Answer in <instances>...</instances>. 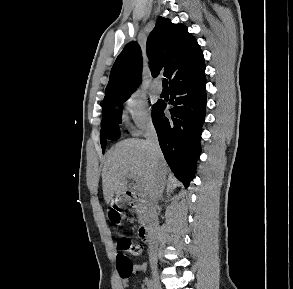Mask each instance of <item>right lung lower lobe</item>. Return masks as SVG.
Returning <instances> with one entry per match:
<instances>
[{"label": "right lung lower lobe", "instance_id": "obj_1", "mask_svg": "<svg viewBox=\"0 0 293 289\" xmlns=\"http://www.w3.org/2000/svg\"><path fill=\"white\" fill-rule=\"evenodd\" d=\"M171 117L164 102L152 109V120L164 157L175 176L189 186L201 153L200 137L206 114V77L170 88Z\"/></svg>", "mask_w": 293, "mask_h": 289}]
</instances>
